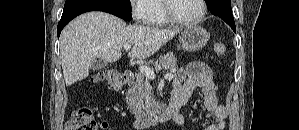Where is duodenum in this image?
<instances>
[{
	"mask_svg": "<svg viewBox=\"0 0 299 130\" xmlns=\"http://www.w3.org/2000/svg\"><path fill=\"white\" fill-rule=\"evenodd\" d=\"M124 78L128 84H132L135 80L134 72L129 69L125 70ZM187 100V96L173 94L167 106L162 108L156 114L137 118L135 121L136 127L139 129L154 127L174 119L179 108L183 106Z\"/></svg>",
	"mask_w": 299,
	"mask_h": 130,
	"instance_id": "duodenum-1",
	"label": "duodenum"
}]
</instances>
